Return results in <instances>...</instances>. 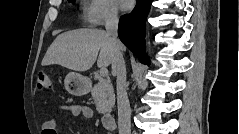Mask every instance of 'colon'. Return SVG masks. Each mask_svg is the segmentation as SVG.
<instances>
[{"label":"colon","instance_id":"5ec220e1","mask_svg":"<svg viewBox=\"0 0 239 134\" xmlns=\"http://www.w3.org/2000/svg\"><path fill=\"white\" fill-rule=\"evenodd\" d=\"M53 87V81L50 75L40 72L37 76V88L39 91H49Z\"/></svg>","mask_w":239,"mask_h":134}]
</instances>
